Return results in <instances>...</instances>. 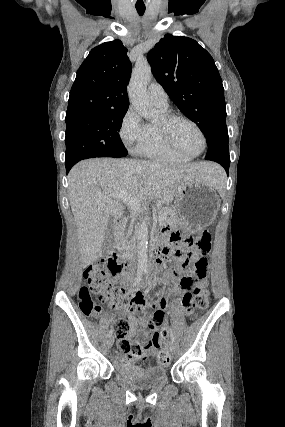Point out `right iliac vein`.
Masks as SVG:
<instances>
[{"mask_svg":"<svg viewBox=\"0 0 285 427\" xmlns=\"http://www.w3.org/2000/svg\"><path fill=\"white\" fill-rule=\"evenodd\" d=\"M113 343H114V338L112 336H109L107 339V347L108 348L112 347Z\"/></svg>","mask_w":285,"mask_h":427,"instance_id":"obj_1","label":"right iliac vein"}]
</instances>
